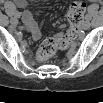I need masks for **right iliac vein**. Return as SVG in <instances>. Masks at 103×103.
<instances>
[{"mask_svg": "<svg viewBox=\"0 0 103 103\" xmlns=\"http://www.w3.org/2000/svg\"><path fill=\"white\" fill-rule=\"evenodd\" d=\"M11 24H12L13 26H16V25L18 24L17 18L11 19Z\"/></svg>", "mask_w": 103, "mask_h": 103, "instance_id": "63e3f726", "label": "right iliac vein"}]
</instances>
